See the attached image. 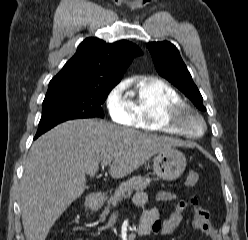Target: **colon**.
Returning <instances> with one entry per match:
<instances>
[{
    "instance_id": "colon-1",
    "label": "colon",
    "mask_w": 248,
    "mask_h": 240,
    "mask_svg": "<svg viewBox=\"0 0 248 240\" xmlns=\"http://www.w3.org/2000/svg\"><path fill=\"white\" fill-rule=\"evenodd\" d=\"M199 180V175L197 172L191 171L186 177V185L189 187L194 186Z\"/></svg>"
}]
</instances>
